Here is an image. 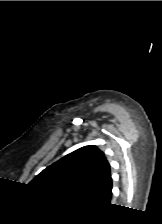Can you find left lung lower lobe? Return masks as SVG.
<instances>
[{"instance_id": "obj_1", "label": "left lung lower lobe", "mask_w": 162, "mask_h": 224, "mask_svg": "<svg viewBox=\"0 0 162 224\" xmlns=\"http://www.w3.org/2000/svg\"><path fill=\"white\" fill-rule=\"evenodd\" d=\"M112 179L111 177L94 193L87 197V200L100 204L109 205L112 195Z\"/></svg>"}]
</instances>
